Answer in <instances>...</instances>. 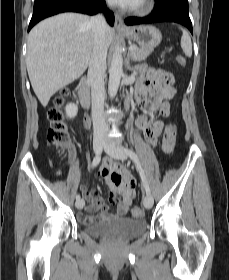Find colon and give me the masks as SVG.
Instances as JSON below:
<instances>
[{
	"label": "colon",
	"mask_w": 229,
	"mask_h": 280,
	"mask_svg": "<svg viewBox=\"0 0 229 280\" xmlns=\"http://www.w3.org/2000/svg\"><path fill=\"white\" fill-rule=\"evenodd\" d=\"M177 64L183 66L186 63L185 57L178 55L176 57ZM156 77L161 84L167 87H172L175 79L172 73L165 70H156ZM72 95L70 89H63L61 94L56 96L53 100V107L48 112V119L50 126L47 130V141L57 150H65L69 147L68 141V125L65 121L63 108L66 104V99ZM177 144V128L173 123H169L163 134L162 149L165 153L171 154ZM112 182L115 185L122 183L124 177L118 173H113L111 176ZM114 200V194L111 193L109 201L112 203ZM134 216H144V211L141 207H135L132 210Z\"/></svg>",
	"instance_id": "obj_1"
}]
</instances>
